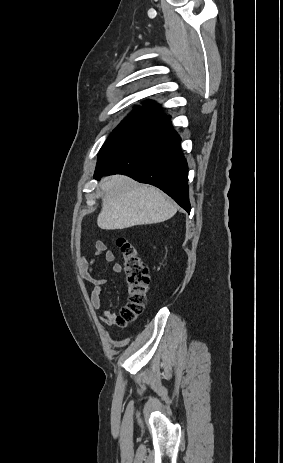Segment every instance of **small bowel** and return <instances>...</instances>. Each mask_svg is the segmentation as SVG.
Here are the masks:
<instances>
[{
	"mask_svg": "<svg viewBox=\"0 0 283 463\" xmlns=\"http://www.w3.org/2000/svg\"><path fill=\"white\" fill-rule=\"evenodd\" d=\"M103 255L106 262L113 263V271L115 273L122 272V265L115 262V255L111 250L107 249V244L103 240H97L94 245V254L88 259L86 256H82L79 260V267L84 280L93 285V289L90 293V303L94 309H99L101 306V294L102 290L107 285V280L104 278H97L92 274V268L97 258ZM100 320L107 325L113 324L116 321L117 314L111 312L108 309L103 310L99 316Z\"/></svg>",
	"mask_w": 283,
	"mask_h": 463,
	"instance_id": "obj_1",
	"label": "small bowel"
}]
</instances>
